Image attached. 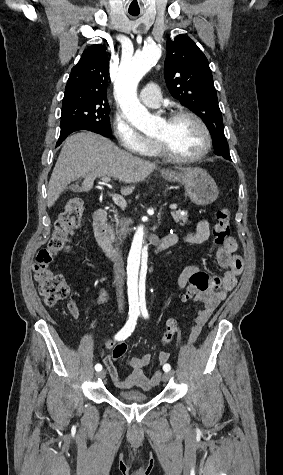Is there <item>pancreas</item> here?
I'll list each match as a JSON object with an SVG mask.
<instances>
[{"label": "pancreas", "instance_id": "cf45deb5", "mask_svg": "<svg viewBox=\"0 0 283 475\" xmlns=\"http://www.w3.org/2000/svg\"><path fill=\"white\" fill-rule=\"evenodd\" d=\"M172 216L174 218V222H179L180 226H185V224H186V222H188V218H189L187 212H186V214H184V216H182L181 210H177V212H173ZM124 232H125V226H122V224H121L120 230H117V232H115V234H113V232H111L110 238L113 241L114 236H118V234H121V236H124Z\"/></svg>", "mask_w": 283, "mask_h": 475}]
</instances>
